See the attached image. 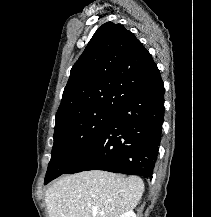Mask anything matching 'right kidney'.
I'll list each match as a JSON object with an SVG mask.
<instances>
[{
  "mask_svg": "<svg viewBox=\"0 0 211 217\" xmlns=\"http://www.w3.org/2000/svg\"><path fill=\"white\" fill-rule=\"evenodd\" d=\"M120 217H136V214L131 210V211L125 212Z\"/></svg>",
  "mask_w": 211,
  "mask_h": 217,
  "instance_id": "obj_1",
  "label": "right kidney"
}]
</instances>
